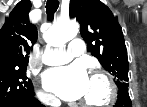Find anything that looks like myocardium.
I'll use <instances>...</instances> for the list:
<instances>
[{
    "mask_svg": "<svg viewBox=\"0 0 147 107\" xmlns=\"http://www.w3.org/2000/svg\"><path fill=\"white\" fill-rule=\"evenodd\" d=\"M91 79H99L104 83L106 87V97L99 102L82 100L81 105L85 107H106L113 104L117 98V86L114 80L108 74L101 71L94 72Z\"/></svg>",
    "mask_w": 147,
    "mask_h": 107,
    "instance_id": "obj_1",
    "label": "myocardium"
}]
</instances>
